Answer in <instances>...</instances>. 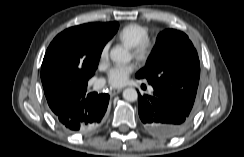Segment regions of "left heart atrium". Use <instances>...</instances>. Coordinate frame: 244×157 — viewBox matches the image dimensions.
Wrapping results in <instances>:
<instances>
[{"instance_id":"1","label":"left heart atrium","mask_w":244,"mask_h":157,"mask_svg":"<svg viewBox=\"0 0 244 157\" xmlns=\"http://www.w3.org/2000/svg\"><path fill=\"white\" fill-rule=\"evenodd\" d=\"M136 64H119L114 66L108 75V82L112 87H122L128 81L129 75L135 70Z\"/></svg>"}]
</instances>
